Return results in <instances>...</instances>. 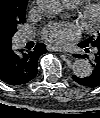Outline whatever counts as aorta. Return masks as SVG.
Instances as JSON below:
<instances>
[{
	"label": "aorta",
	"instance_id": "1",
	"mask_svg": "<svg viewBox=\"0 0 100 118\" xmlns=\"http://www.w3.org/2000/svg\"><path fill=\"white\" fill-rule=\"evenodd\" d=\"M37 3L42 11L52 16L59 15L64 9L62 0H37ZM72 70L75 76L84 78L90 76L93 69L88 60L77 59L72 65Z\"/></svg>",
	"mask_w": 100,
	"mask_h": 118
}]
</instances>
